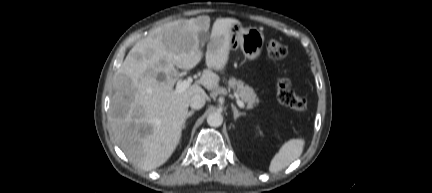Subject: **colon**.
Here are the masks:
<instances>
[{"label": "colon", "instance_id": "obj_1", "mask_svg": "<svg viewBox=\"0 0 432 193\" xmlns=\"http://www.w3.org/2000/svg\"><path fill=\"white\" fill-rule=\"evenodd\" d=\"M269 58L283 60L287 56V48L279 40L272 39L266 45ZM277 98L281 104L296 111L304 112L309 108V101L306 97L297 95L291 88V81L288 77H281L277 82Z\"/></svg>", "mask_w": 432, "mask_h": 193}]
</instances>
